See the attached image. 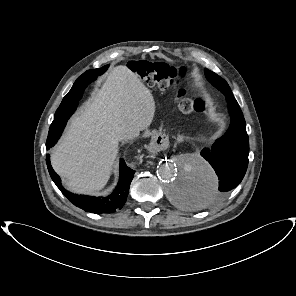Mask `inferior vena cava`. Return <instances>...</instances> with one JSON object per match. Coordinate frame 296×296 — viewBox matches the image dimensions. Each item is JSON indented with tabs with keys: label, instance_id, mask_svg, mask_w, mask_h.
I'll use <instances>...</instances> for the list:
<instances>
[{
	"label": "inferior vena cava",
	"instance_id": "1",
	"mask_svg": "<svg viewBox=\"0 0 296 296\" xmlns=\"http://www.w3.org/2000/svg\"><path fill=\"white\" fill-rule=\"evenodd\" d=\"M137 135L138 134L135 131H128V132H125L119 136V141L130 140V139H133L134 137H136Z\"/></svg>",
	"mask_w": 296,
	"mask_h": 296
}]
</instances>
